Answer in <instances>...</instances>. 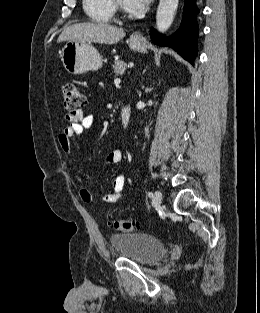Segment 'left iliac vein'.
Here are the masks:
<instances>
[{"label": "left iliac vein", "mask_w": 260, "mask_h": 313, "mask_svg": "<svg viewBox=\"0 0 260 313\" xmlns=\"http://www.w3.org/2000/svg\"><path fill=\"white\" fill-rule=\"evenodd\" d=\"M161 202H162V193L161 191L157 190L154 193L152 203L155 207H159L161 205Z\"/></svg>", "instance_id": "left-iliac-vein-1"}]
</instances>
